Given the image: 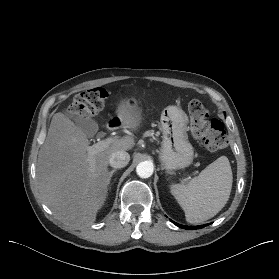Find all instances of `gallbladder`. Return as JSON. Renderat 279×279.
I'll return each instance as SVG.
<instances>
[{
	"label": "gallbladder",
	"mask_w": 279,
	"mask_h": 279,
	"mask_svg": "<svg viewBox=\"0 0 279 279\" xmlns=\"http://www.w3.org/2000/svg\"><path fill=\"white\" fill-rule=\"evenodd\" d=\"M66 115L74 120L76 125L81 128V130L88 136L92 137L94 136L98 131V125L97 123L90 119V118H84L80 117L79 115H76L74 113H71L69 111H65Z\"/></svg>",
	"instance_id": "gallbladder-1"
}]
</instances>
